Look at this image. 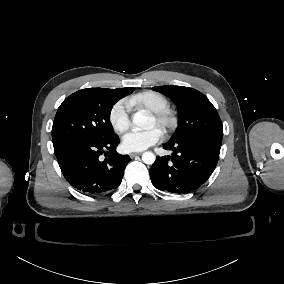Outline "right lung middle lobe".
<instances>
[{
    "mask_svg": "<svg viewBox=\"0 0 284 284\" xmlns=\"http://www.w3.org/2000/svg\"><path fill=\"white\" fill-rule=\"evenodd\" d=\"M120 98L113 90L104 88L82 89L68 96L53 122L54 149L72 141L113 137L110 112Z\"/></svg>",
    "mask_w": 284,
    "mask_h": 284,
    "instance_id": "dd1d6c3e",
    "label": "right lung middle lobe"
}]
</instances>
